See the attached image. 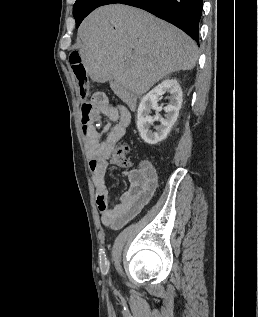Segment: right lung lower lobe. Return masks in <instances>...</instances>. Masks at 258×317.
Returning a JSON list of instances; mask_svg holds the SVG:
<instances>
[{
	"label": "right lung lower lobe",
	"instance_id": "98d812e1",
	"mask_svg": "<svg viewBox=\"0 0 258 317\" xmlns=\"http://www.w3.org/2000/svg\"><path fill=\"white\" fill-rule=\"evenodd\" d=\"M121 3L144 9L155 16L177 26L199 45V22L203 0H86L76 15V27L94 9Z\"/></svg>",
	"mask_w": 258,
	"mask_h": 317
}]
</instances>
